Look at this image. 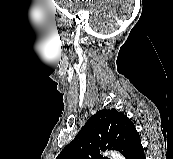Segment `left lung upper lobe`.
Masks as SVG:
<instances>
[{
  "label": "left lung upper lobe",
  "instance_id": "1",
  "mask_svg": "<svg viewBox=\"0 0 173 159\" xmlns=\"http://www.w3.org/2000/svg\"><path fill=\"white\" fill-rule=\"evenodd\" d=\"M140 142L134 123L124 113L116 109L100 110L56 159H108L100 155L106 149L120 151L127 158Z\"/></svg>",
  "mask_w": 173,
  "mask_h": 159
}]
</instances>
